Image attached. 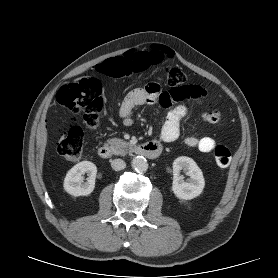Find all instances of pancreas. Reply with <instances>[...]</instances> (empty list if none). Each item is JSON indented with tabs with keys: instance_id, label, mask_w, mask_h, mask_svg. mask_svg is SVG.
<instances>
[{
	"instance_id": "1",
	"label": "pancreas",
	"mask_w": 278,
	"mask_h": 278,
	"mask_svg": "<svg viewBox=\"0 0 278 278\" xmlns=\"http://www.w3.org/2000/svg\"><path fill=\"white\" fill-rule=\"evenodd\" d=\"M115 155H126L129 143L119 138H112L107 141Z\"/></svg>"
}]
</instances>
